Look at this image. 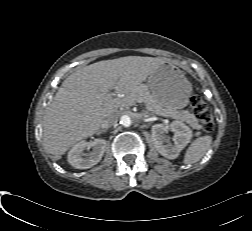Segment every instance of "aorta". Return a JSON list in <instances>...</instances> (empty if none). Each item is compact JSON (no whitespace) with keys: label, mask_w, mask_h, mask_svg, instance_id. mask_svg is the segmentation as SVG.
<instances>
[{"label":"aorta","mask_w":252,"mask_h":231,"mask_svg":"<svg viewBox=\"0 0 252 231\" xmlns=\"http://www.w3.org/2000/svg\"><path fill=\"white\" fill-rule=\"evenodd\" d=\"M121 124L125 127H129L131 125V118L128 115H123L121 117Z\"/></svg>","instance_id":"obj_1"}]
</instances>
